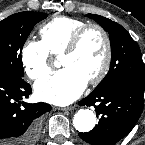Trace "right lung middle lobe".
Returning a JSON list of instances; mask_svg holds the SVG:
<instances>
[{"label": "right lung middle lobe", "instance_id": "1", "mask_svg": "<svg viewBox=\"0 0 145 145\" xmlns=\"http://www.w3.org/2000/svg\"><path fill=\"white\" fill-rule=\"evenodd\" d=\"M46 17V13L28 11L0 21V77L23 78V45L34 25Z\"/></svg>", "mask_w": 145, "mask_h": 145}]
</instances>
